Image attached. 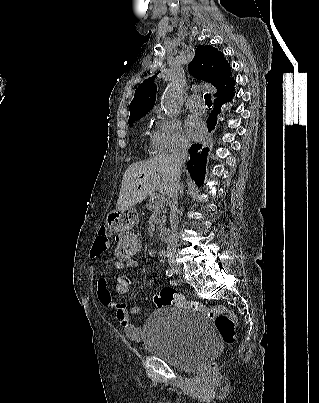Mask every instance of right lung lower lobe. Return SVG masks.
I'll return each instance as SVG.
<instances>
[{
  "label": "right lung lower lobe",
  "mask_w": 319,
  "mask_h": 403,
  "mask_svg": "<svg viewBox=\"0 0 319 403\" xmlns=\"http://www.w3.org/2000/svg\"><path fill=\"white\" fill-rule=\"evenodd\" d=\"M234 93L217 98L214 101V111L210 114L207 120V127L209 132L214 129L217 120V114L221 112V105L231 101ZM209 148H203L201 144H193L190 148V160L187 162V169L198 186L203 185L205 172H206V159Z\"/></svg>",
  "instance_id": "obj_1"
}]
</instances>
